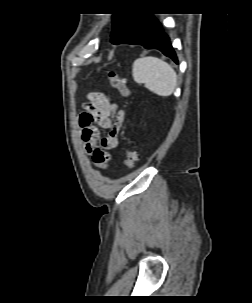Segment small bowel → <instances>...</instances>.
Here are the masks:
<instances>
[{"mask_svg":"<svg viewBox=\"0 0 252 303\" xmlns=\"http://www.w3.org/2000/svg\"><path fill=\"white\" fill-rule=\"evenodd\" d=\"M86 98L83 105L85 113L80 119L81 139L93 163L105 169L111 160L110 151L117 147L125 112L103 93L91 91ZM100 129L107 130V133L102 136Z\"/></svg>","mask_w":252,"mask_h":303,"instance_id":"small-bowel-1","label":"small bowel"}]
</instances>
